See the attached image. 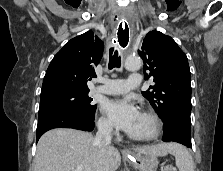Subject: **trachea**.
<instances>
[{
    "mask_svg": "<svg viewBox=\"0 0 223 171\" xmlns=\"http://www.w3.org/2000/svg\"><path fill=\"white\" fill-rule=\"evenodd\" d=\"M108 66L110 70L113 68H120L121 66L120 56L117 50L114 51V48L109 49V65Z\"/></svg>",
    "mask_w": 223,
    "mask_h": 171,
    "instance_id": "obj_1",
    "label": "trachea"
}]
</instances>
